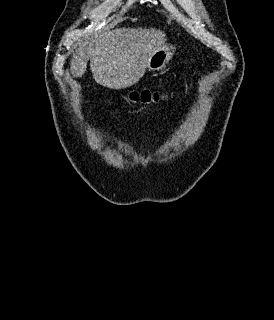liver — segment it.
Listing matches in <instances>:
<instances>
[{
    "label": "liver",
    "mask_w": 274,
    "mask_h": 320,
    "mask_svg": "<svg viewBox=\"0 0 274 320\" xmlns=\"http://www.w3.org/2000/svg\"><path fill=\"white\" fill-rule=\"evenodd\" d=\"M165 42L166 34L155 28H119L79 40L70 62L71 74L81 78L90 62L97 84L112 90L129 88L143 78L149 58Z\"/></svg>",
    "instance_id": "6515ba94"
}]
</instances>
